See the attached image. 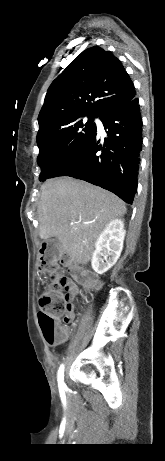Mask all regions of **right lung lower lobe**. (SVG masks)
Segmentation results:
<instances>
[{
  "label": "right lung lower lobe",
  "mask_w": 165,
  "mask_h": 461,
  "mask_svg": "<svg viewBox=\"0 0 165 461\" xmlns=\"http://www.w3.org/2000/svg\"><path fill=\"white\" fill-rule=\"evenodd\" d=\"M107 138L89 140L50 177L70 176L115 193L132 204L142 150V119L139 100L116 107L99 117Z\"/></svg>",
  "instance_id": "obj_1"
}]
</instances>
